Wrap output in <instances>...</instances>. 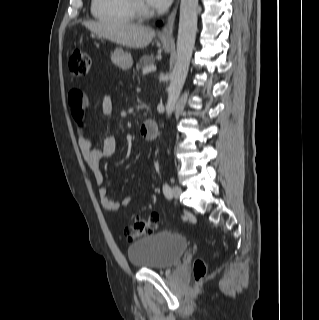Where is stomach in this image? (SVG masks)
<instances>
[{
    "label": "stomach",
    "instance_id": "1",
    "mask_svg": "<svg viewBox=\"0 0 319 320\" xmlns=\"http://www.w3.org/2000/svg\"><path fill=\"white\" fill-rule=\"evenodd\" d=\"M161 42L166 51L170 50V44L165 39L161 38ZM113 63L122 70H128L133 65V59L130 53L125 52L122 48H116L111 55Z\"/></svg>",
    "mask_w": 319,
    "mask_h": 320
}]
</instances>
